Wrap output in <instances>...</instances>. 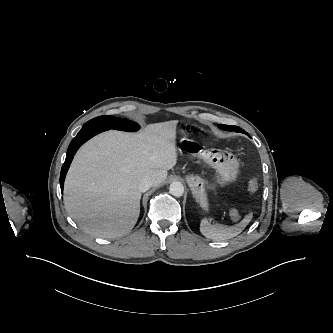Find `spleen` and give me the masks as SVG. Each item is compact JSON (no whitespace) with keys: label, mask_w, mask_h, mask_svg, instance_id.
<instances>
[{"label":"spleen","mask_w":333,"mask_h":333,"mask_svg":"<svg viewBox=\"0 0 333 333\" xmlns=\"http://www.w3.org/2000/svg\"><path fill=\"white\" fill-rule=\"evenodd\" d=\"M236 210L232 211V215H236ZM252 219V213H249L235 226H225L221 224L211 225L207 219H203L200 223V232L207 238L213 240H226L239 235Z\"/></svg>","instance_id":"obj_1"}]
</instances>
